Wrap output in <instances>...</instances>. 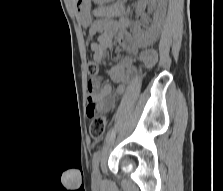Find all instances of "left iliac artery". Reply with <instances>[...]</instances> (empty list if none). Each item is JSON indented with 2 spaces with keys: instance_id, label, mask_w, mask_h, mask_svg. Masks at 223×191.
I'll list each match as a JSON object with an SVG mask.
<instances>
[{
  "instance_id": "left-iliac-artery-1",
  "label": "left iliac artery",
  "mask_w": 223,
  "mask_h": 191,
  "mask_svg": "<svg viewBox=\"0 0 223 191\" xmlns=\"http://www.w3.org/2000/svg\"><path fill=\"white\" fill-rule=\"evenodd\" d=\"M101 157V151L97 150L93 155V165H98Z\"/></svg>"
}]
</instances>
